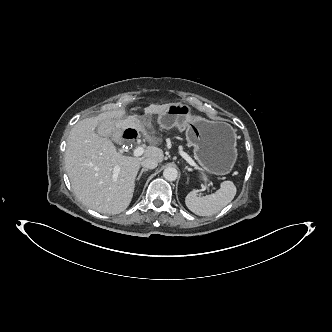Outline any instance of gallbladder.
I'll return each mask as SVG.
<instances>
[{
    "label": "gallbladder",
    "mask_w": 332,
    "mask_h": 332,
    "mask_svg": "<svg viewBox=\"0 0 332 332\" xmlns=\"http://www.w3.org/2000/svg\"><path fill=\"white\" fill-rule=\"evenodd\" d=\"M98 133L102 136V137H108V133L104 132L102 130L101 127H98Z\"/></svg>",
    "instance_id": "obj_1"
}]
</instances>
